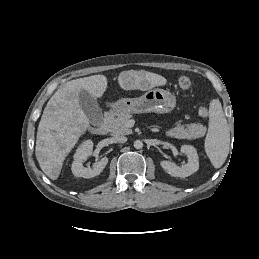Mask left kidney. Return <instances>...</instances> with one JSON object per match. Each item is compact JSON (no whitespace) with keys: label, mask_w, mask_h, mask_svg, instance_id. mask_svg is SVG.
I'll return each mask as SVG.
<instances>
[{"label":"left kidney","mask_w":259,"mask_h":259,"mask_svg":"<svg viewBox=\"0 0 259 259\" xmlns=\"http://www.w3.org/2000/svg\"><path fill=\"white\" fill-rule=\"evenodd\" d=\"M181 152L187 155L188 162L182 167L177 166L175 163L168 160L160 162L161 167L173 177H188L199 169V157L196 149L191 145H182Z\"/></svg>","instance_id":"left-kidney-1"}]
</instances>
